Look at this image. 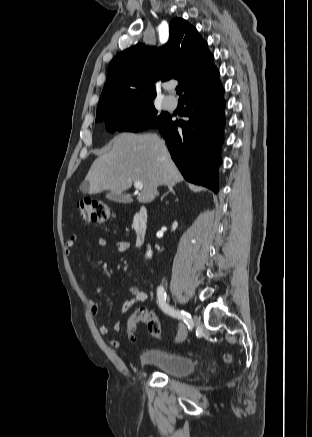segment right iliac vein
I'll return each mask as SVG.
<instances>
[{
    "label": "right iliac vein",
    "mask_w": 312,
    "mask_h": 437,
    "mask_svg": "<svg viewBox=\"0 0 312 437\" xmlns=\"http://www.w3.org/2000/svg\"><path fill=\"white\" fill-rule=\"evenodd\" d=\"M185 335H186V327L183 324H181L180 325V333H179V336H178V340H183Z\"/></svg>",
    "instance_id": "right-iliac-vein-1"
}]
</instances>
